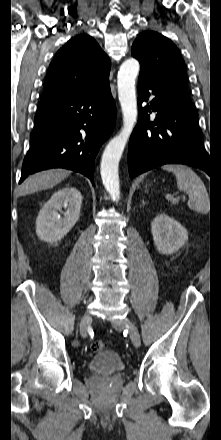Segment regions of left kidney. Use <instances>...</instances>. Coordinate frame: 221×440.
I'll list each match as a JSON object with an SVG mask.
<instances>
[{
  "label": "left kidney",
  "instance_id": "5707ae66",
  "mask_svg": "<svg viewBox=\"0 0 221 440\" xmlns=\"http://www.w3.org/2000/svg\"><path fill=\"white\" fill-rule=\"evenodd\" d=\"M151 232L154 244L162 254H173L188 241L187 230L165 213H160L154 218Z\"/></svg>",
  "mask_w": 221,
  "mask_h": 440
}]
</instances>
